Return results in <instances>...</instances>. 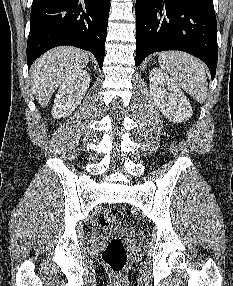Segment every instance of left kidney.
I'll return each instance as SVG.
<instances>
[{"label": "left kidney", "mask_w": 233, "mask_h": 286, "mask_svg": "<svg viewBox=\"0 0 233 286\" xmlns=\"http://www.w3.org/2000/svg\"><path fill=\"white\" fill-rule=\"evenodd\" d=\"M149 81L154 102L166 118L174 123L191 118L193 112L190 103L172 78L161 69L153 68Z\"/></svg>", "instance_id": "1"}]
</instances>
